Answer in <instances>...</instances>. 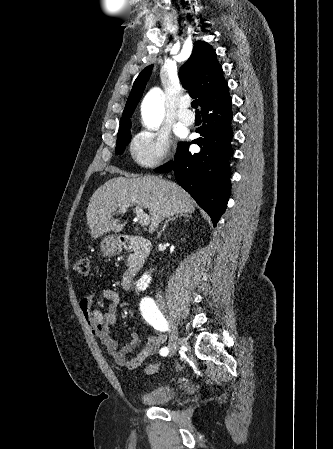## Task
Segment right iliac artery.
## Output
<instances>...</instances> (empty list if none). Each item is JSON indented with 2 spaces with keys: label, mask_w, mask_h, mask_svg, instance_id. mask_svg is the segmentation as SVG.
<instances>
[{
  "label": "right iliac artery",
  "mask_w": 333,
  "mask_h": 449,
  "mask_svg": "<svg viewBox=\"0 0 333 449\" xmlns=\"http://www.w3.org/2000/svg\"><path fill=\"white\" fill-rule=\"evenodd\" d=\"M140 309L144 319L156 330L160 332L168 330L167 321L159 311L153 299L149 297L142 299L140 302ZM168 352V348L164 347L160 350V355L166 356Z\"/></svg>",
  "instance_id": "82829eb1"
}]
</instances>
